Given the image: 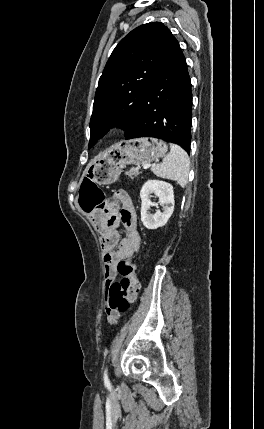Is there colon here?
<instances>
[{"label": "colon", "mask_w": 264, "mask_h": 429, "mask_svg": "<svg viewBox=\"0 0 264 429\" xmlns=\"http://www.w3.org/2000/svg\"><path fill=\"white\" fill-rule=\"evenodd\" d=\"M81 208L87 212L95 211L115 212L117 206L108 203L105 193L95 183L86 180L82 183L79 192ZM136 265L130 258L120 261L117 271L120 279L107 284L106 311L109 313H124L136 300L139 291V282L135 273Z\"/></svg>", "instance_id": "colon-1"}]
</instances>
